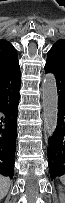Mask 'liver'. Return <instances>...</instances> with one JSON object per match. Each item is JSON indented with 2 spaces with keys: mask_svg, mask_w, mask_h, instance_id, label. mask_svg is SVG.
I'll return each mask as SVG.
<instances>
[{
  "mask_svg": "<svg viewBox=\"0 0 65 203\" xmlns=\"http://www.w3.org/2000/svg\"><path fill=\"white\" fill-rule=\"evenodd\" d=\"M10 188V179L4 176L0 177V198L3 199Z\"/></svg>",
  "mask_w": 65,
  "mask_h": 203,
  "instance_id": "6515ba94",
  "label": "liver"
}]
</instances>
